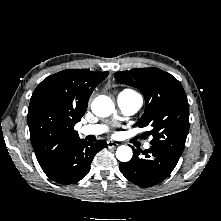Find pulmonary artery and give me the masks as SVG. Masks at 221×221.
Returning <instances> with one entry per match:
<instances>
[{
	"mask_svg": "<svg viewBox=\"0 0 221 221\" xmlns=\"http://www.w3.org/2000/svg\"><path fill=\"white\" fill-rule=\"evenodd\" d=\"M143 99L142 97L134 92L123 91L117 97V104L125 116L134 115L142 106ZM107 127L103 124H95V125H85L80 128L79 132L82 135H93L98 136L106 132ZM145 149L150 148V144L146 143L144 145Z\"/></svg>",
	"mask_w": 221,
	"mask_h": 221,
	"instance_id": "obj_1",
	"label": "pulmonary artery"
}]
</instances>
